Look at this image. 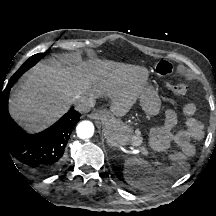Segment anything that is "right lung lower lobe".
Here are the masks:
<instances>
[{
  "label": "right lung lower lobe",
  "instance_id": "98d812e1",
  "mask_svg": "<svg viewBox=\"0 0 216 216\" xmlns=\"http://www.w3.org/2000/svg\"><path fill=\"white\" fill-rule=\"evenodd\" d=\"M13 84L11 79L0 92V157L18 161L38 176L52 174L63 162L66 144L81 115L69 111L48 129L26 134L8 112V97Z\"/></svg>",
  "mask_w": 216,
  "mask_h": 216
}]
</instances>
